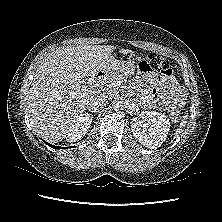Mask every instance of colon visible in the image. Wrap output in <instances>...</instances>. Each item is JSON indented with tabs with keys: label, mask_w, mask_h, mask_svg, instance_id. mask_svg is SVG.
<instances>
[{
	"label": "colon",
	"mask_w": 222,
	"mask_h": 222,
	"mask_svg": "<svg viewBox=\"0 0 222 222\" xmlns=\"http://www.w3.org/2000/svg\"><path fill=\"white\" fill-rule=\"evenodd\" d=\"M168 69V61L157 53L151 54L147 60L143 61L140 65V71L143 74H152L157 71L165 73L168 71ZM170 117L173 121H178L180 118V113L178 111H174L171 113Z\"/></svg>",
	"instance_id": "5ec220e1"
}]
</instances>
